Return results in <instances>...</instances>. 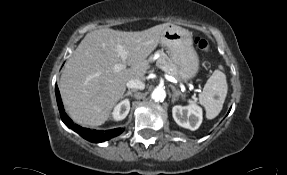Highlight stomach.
I'll return each instance as SVG.
<instances>
[{"label": "stomach", "mask_w": 287, "mask_h": 175, "mask_svg": "<svg viewBox=\"0 0 287 175\" xmlns=\"http://www.w3.org/2000/svg\"><path fill=\"white\" fill-rule=\"evenodd\" d=\"M160 43L164 46L178 71L175 77L179 82L193 78L199 70V57L193 47L192 34L179 26L167 27L161 35Z\"/></svg>", "instance_id": "0dacf381"}]
</instances>
